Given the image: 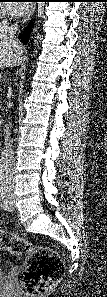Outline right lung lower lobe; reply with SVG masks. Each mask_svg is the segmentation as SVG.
I'll return each mask as SVG.
<instances>
[{
	"instance_id": "right-lung-lower-lobe-1",
	"label": "right lung lower lobe",
	"mask_w": 107,
	"mask_h": 297,
	"mask_svg": "<svg viewBox=\"0 0 107 297\" xmlns=\"http://www.w3.org/2000/svg\"><path fill=\"white\" fill-rule=\"evenodd\" d=\"M31 26H32V24H30L29 28H27L26 31L24 32L25 36H21V41H22L24 44L27 43L28 36H29L30 30H31Z\"/></svg>"
}]
</instances>
